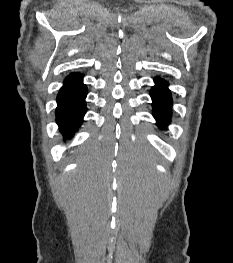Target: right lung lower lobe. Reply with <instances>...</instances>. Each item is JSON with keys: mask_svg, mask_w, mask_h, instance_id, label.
I'll return each mask as SVG.
<instances>
[{"mask_svg": "<svg viewBox=\"0 0 233 263\" xmlns=\"http://www.w3.org/2000/svg\"><path fill=\"white\" fill-rule=\"evenodd\" d=\"M82 78L79 73L68 75L57 96L56 122L65 138L77 131L86 112L87 87Z\"/></svg>", "mask_w": 233, "mask_h": 263, "instance_id": "98d812e1", "label": "right lung lower lobe"}]
</instances>
